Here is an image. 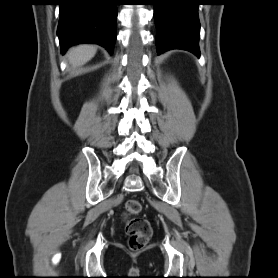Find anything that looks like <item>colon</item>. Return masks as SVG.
<instances>
[{
  "label": "colon",
  "mask_w": 278,
  "mask_h": 278,
  "mask_svg": "<svg viewBox=\"0 0 278 278\" xmlns=\"http://www.w3.org/2000/svg\"><path fill=\"white\" fill-rule=\"evenodd\" d=\"M142 209L141 203L136 199H130L125 205V228L129 237V245L132 249H140L149 241L152 229L149 221L137 216Z\"/></svg>",
  "instance_id": "5ec220e1"
}]
</instances>
